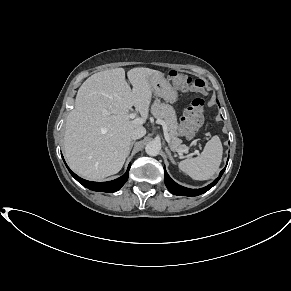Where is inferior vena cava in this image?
I'll list each match as a JSON object with an SVG mask.
<instances>
[{"mask_svg": "<svg viewBox=\"0 0 291 291\" xmlns=\"http://www.w3.org/2000/svg\"><path fill=\"white\" fill-rule=\"evenodd\" d=\"M146 134V130L144 127H138L133 130L131 134V139L136 140L143 137Z\"/></svg>", "mask_w": 291, "mask_h": 291, "instance_id": "inferior-vena-cava-1", "label": "inferior vena cava"}]
</instances>
